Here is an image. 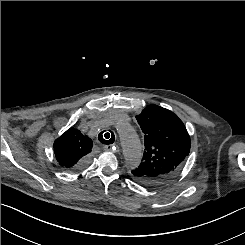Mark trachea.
I'll use <instances>...</instances> for the list:
<instances>
[{
	"label": "trachea",
	"instance_id": "3493384b",
	"mask_svg": "<svg viewBox=\"0 0 245 245\" xmlns=\"http://www.w3.org/2000/svg\"><path fill=\"white\" fill-rule=\"evenodd\" d=\"M98 139L103 144H112L115 141V136L112 131H104L98 135Z\"/></svg>",
	"mask_w": 245,
	"mask_h": 245
}]
</instances>
